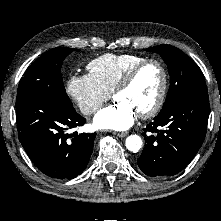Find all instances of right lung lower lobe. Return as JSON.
I'll return each mask as SVG.
<instances>
[{"instance_id":"1","label":"right lung lower lobe","mask_w":221,"mask_h":221,"mask_svg":"<svg viewBox=\"0 0 221 221\" xmlns=\"http://www.w3.org/2000/svg\"><path fill=\"white\" fill-rule=\"evenodd\" d=\"M19 140L26 153L47 176L72 179L86 168L96 134H68L86 120L72 106L38 97L16 106Z\"/></svg>"}]
</instances>
